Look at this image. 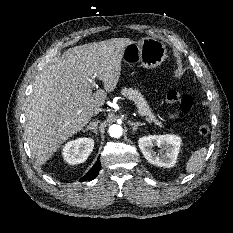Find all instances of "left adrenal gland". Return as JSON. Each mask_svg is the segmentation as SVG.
Wrapping results in <instances>:
<instances>
[{
	"label": "left adrenal gland",
	"instance_id": "1",
	"mask_svg": "<svg viewBox=\"0 0 233 233\" xmlns=\"http://www.w3.org/2000/svg\"><path fill=\"white\" fill-rule=\"evenodd\" d=\"M129 124L133 126L132 130L133 132H135L139 126H143L144 123H139V122H131L129 121Z\"/></svg>",
	"mask_w": 233,
	"mask_h": 233
}]
</instances>
